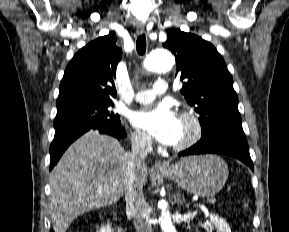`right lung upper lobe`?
I'll list each match as a JSON object with an SVG mask.
<instances>
[{"instance_id": "1", "label": "right lung upper lobe", "mask_w": 289, "mask_h": 232, "mask_svg": "<svg viewBox=\"0 0 289 232\" xmlns=\"http://www.w3.org/2000/svg\"><path fill=\"white\" fill-rule=\"evenodd\" d=\"M116 37L106 35L83 47L67 65L60 83L56 106L78 102L113 103L116 67L122 51Z\"/></svg>"}]
</instances>
